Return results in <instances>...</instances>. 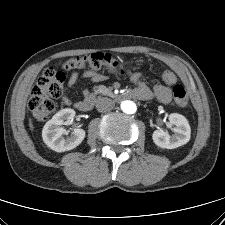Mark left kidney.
Segmentation results:
<instances>
[{
    "instance_id": "left-kidney-1",
    "label": "left kidney",
    "mask_w": 225,
    "mask_h": 225,
    "mask_svg": "<svg viewBox=\"0 0 225 225\" xmlns=\"http://www.w3.org/2000/svg\"><path fill=\"white\" fill-rule=\"evenodd\" d=\"M169 121L176 127L173 129L174 135H170L163 130L153 132V142L160 148L174 149L189 142L191 129L187 119L180 114L173 113L169 116Z\"/></svg>"
}]
</instances>
